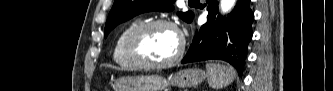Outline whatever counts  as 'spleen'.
<instances>
[{"mask_svg": "<svg viewBox=\"0 0 333 91\" xmlns=\"http://www.w3.org/2000/svg\"><path fill=\"white\" fill-rule=\"evenodd\" d=\"M206 74L209 85L214 89H221L231 84L236 77V71L232 66L208 63Z\"/></svg>", "mask_w": 333, "mask_h": 91, "instance_id": "3e777b00", "label": "spleen"}]
</instances>
